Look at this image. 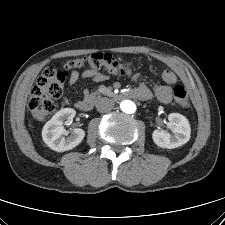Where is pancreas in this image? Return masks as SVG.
<instances>
[{"label":"pancreas","instance_id":"1","mask_svg":"<svg viewBox=\"0 0 225 225\" xmlns=\"http://www.w3.org/2000/svg\"><path fill=\"white\" fill-rule=\"evenodd\" d=\"M98 92L103 93V94H110L111 93L110 90L108 88L104 87V86H100L98 88Z\"/></svg>","mask_w":225,"mask_h":225}]
</instances>
